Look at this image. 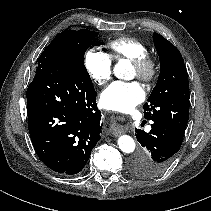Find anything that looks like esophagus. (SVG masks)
<instances>
[{
    "label": "esophagus",
    "mask_w": 211,
    "mask_h": 211,
    "mask_svg": "<svg viewBox=\"0 0 211 211\" xmlns=\"http://www.w3.org/2000/svg\"><path fill=\"white\" fill-rule=\"evenodd\" d=\"M111 129L115 134H119L122 130V126L115 120V118H112L111 120Z\"/></svg>",
    "instance_id": "34e87169"
}]
</instances>
